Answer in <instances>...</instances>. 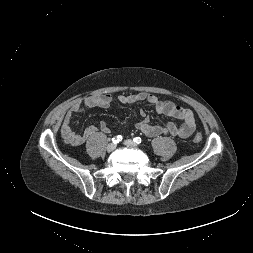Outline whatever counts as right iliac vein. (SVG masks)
<instances>
[{"instance_id": "1", "label": "right iliac vein", "mask_w": 253, "mask_h": 253, "mask_svg": "<svg viewBox=\"0 0 253 253\" xmlns=\"http://www.w3.org/2000/svg\"><path fill=\"white\" fill-rule=\"evenodd\" d=\"M116 149V144L115 143H110L108 146H107V151L108 152H112Z\"/></svg>"}]
</instances>
